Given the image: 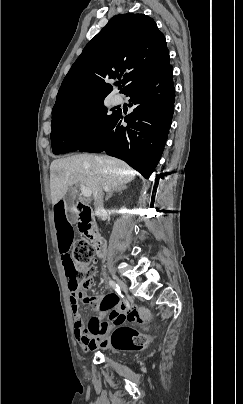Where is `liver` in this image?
I'll return each instance as SVG.
<instances>
[{
    "mask_svg": "<svg viewBox=\"0 0 243 404\" xmlns=\"http://www.w3.org/2000/svg\"><path fill=\"white\" fill-rule=\"evenodd\" d=\"M137 172L125 162L110 156H71L53 160L50 166V190L52 204L64 198L68 188L74 184H83L90 188L97 204L103 192H109L117 186L134 180Z\"/></svg>",
    "mask_w": 243,
    "mask_h": 404,
    "instance_id": "1",
    "label": "liver"
}]
</instances>
